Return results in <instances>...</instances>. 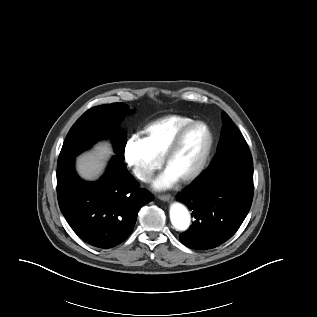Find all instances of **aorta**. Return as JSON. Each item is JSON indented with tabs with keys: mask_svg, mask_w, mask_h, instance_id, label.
Returning a JSON list of instances; mask_svg holds the SVG:
<instances>
[{
	"mask_svg": "<svg viewBox=\"0 0 317 317\" xmlns=\"http://www.w3.org/2000/svg\"><path fill=\"white\" fill-rule=\"evenodd\" d=\"M170 220L173 227L178 231H186L191 224L190 213L181 203H174L171 205Z\"/></svg>",
	"mask_w": 317,
	"mask_h": 317,
	"instance_id": "1",
	"label": "aorta"
}]
</instances>
